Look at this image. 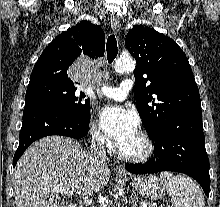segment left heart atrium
Segmentation results:
<instances>
[{
	"mask_svg": "<svg viewBox=\"0 0 220 207\" xmlns=\"http://www.w3.org/2000/svg\"><path fill=\"white\" fill-rule=\"evenodd\" d=\"M100 123L106 134L118 146L138 133L136 116L120 106L104 107L100 112Z\"/></svg>",
	"mask_w": 220,
	"mask_h": 207,
	"instance_id": "39dd6f15",
	"label": "left heart atrium"
}]
</instances>
